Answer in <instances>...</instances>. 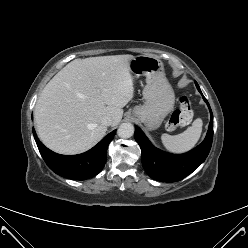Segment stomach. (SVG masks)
<instances>
[{
  "label": "stomach",
  "mask_w": 248,
  "mask_h": 248,
  "mask_svg": "<svg viewBox=\"0 0 248 248\" xmlns=\"http://www.w3.org/2000/svg\"><path fill=\"white\" fill-rule=\"evenodd\" d=\"M131 74L145 76L143 90L145 104L136 106L132 116L145 124L149 130L157 129L164 118L173 110L175 96L163 72L162 62L155 56L140 55L129 62Z\"/></svg>",
  "instance_id": "obj_1"
}]
</instances>
